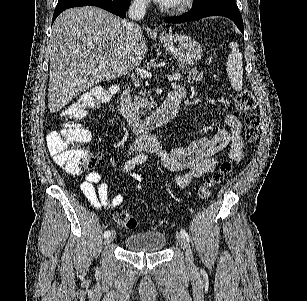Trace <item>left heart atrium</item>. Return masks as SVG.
<instances>
[{
  "mask_svg": "<svg viewBox=\"0 0 307 301\" xmlns=\"http://www.w3.org/2000/svg\"><path fill=\"white\" fill-rule=\"evenodd\" d=\"M159 4H175L176 0H158ZM123 62H138V61H123Z\"/></svg>",
  "mask_w": 307,
  "mask_h": 301,
  "instance_id": "obj_1",
  "label": "left heart atrium"
}]
</instances>
